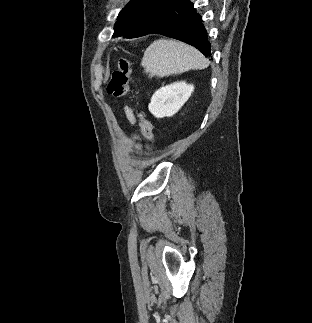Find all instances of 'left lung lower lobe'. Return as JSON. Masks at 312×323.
I'll return each instance as SVG.
<instances>
[{"label": "left lung lower lobe", "instance_id": "0a47b994", "mask_svg": "<svg viewBox=\"0 0 312 323\" xmlns=\"http://www.w3.org/2000/svg\"><path fill=\"white\" fill-rule=\"evenodd\" d=\"M170 12L157 21L147 34H161L174 38L211 56V45L201 16L196 13L190 0H173Z\"/></svg>", "mask_w": 312, "mask_h": 323}]
</instances>
